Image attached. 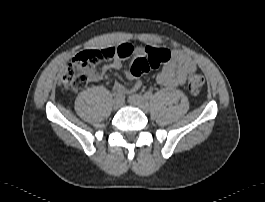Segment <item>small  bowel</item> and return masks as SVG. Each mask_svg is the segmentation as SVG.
Masks as SVG:
<instances>
[{"mask_svg": "<svg viewBox=\"0 0 265 202\" xmlns=\"http://www.w3.org/2000/svg\"><path fill=\"white\" fill-rule=\"evenodd\" d=\"M112 49L115 52V57L110 60V62L104 66L100 70L95 69L92 66H88L85 68V72L87 78L90 82H96L102 79L103 74L108 70H118L123 68V61L128 59L133 54H142L144 53V49L141 47H135L130 43H124L115 47H105L99 50ZM196 70V63L182 50H174L171 53V58L160 71L157 81L160 85L164 87H176L183 86L186 84L187 77L190 72ZM125 78L127 81L135 79V83L133 86V91H137L141 88V82L137 80L131 74V70L127 67L124 68ZM113 89L115 91L124 92V87L120 83H114Z\"/></svg>", "mask_w": 265, "mask_h": 202, "instance_id": "small-bowel-1", "label": "small bowel"}]
</instances>
